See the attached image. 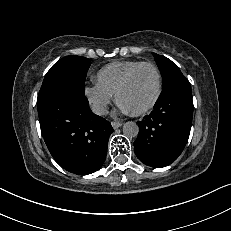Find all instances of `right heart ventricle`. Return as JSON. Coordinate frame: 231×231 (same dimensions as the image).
I'll list each match as a JSON object with an SVG mask.
<instances>
[{"label":"right heart ventricle","mask_w":231,"mask_h":231,"mask_svg":"<svg viewBox=\"0 0 231 231\" xmlns=\"http://www.w3.org/2000/svg\"><path fill=\"white\" fill-rule=\"evenodd\" d=\"M140 63L141 61L136 60L111 62L97 72L96 83L101 88L114 95L118 86L129 71Z\"/></svg>","instance_id":"obj_1"}]
</instances>
